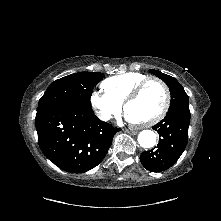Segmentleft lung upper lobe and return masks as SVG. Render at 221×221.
Returning <instances> with one entry per match:
<instances>
[{
    "label": "left lung upper lobe",
    "instance_id": "1",
    "mask_svg": "<svg viewBox=\"0 0 221 221\" xmlns=\"http://www.w3.org/2000/svg\"><path fill=\"white\" fill-rule=\"evenodd\" d=\"M150 72L162 79L170 89V108L177 106H189V98L182 85L172 76L164 74L158 70L151 69Z\"/></svg>",
    "mask_w": 221,
    "mask_h": 221
}]
</instances>
